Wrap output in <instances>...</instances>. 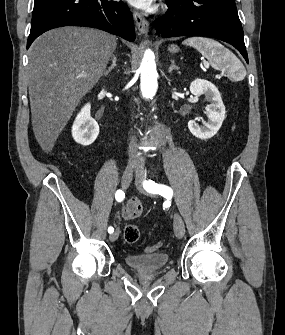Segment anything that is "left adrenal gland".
Segmentation results:
<instances>
[{
  "mask_svg": "<svg viewBox=\"0 0 285 335\" xmlns=\"http://www.w3.org/2000/svg\"><path fill=\"white\" fill-rule=\"evenodd\" d=\"M170 62H171V66L168 70L169 74H171V72H173V70H180V68H178V66H175L174 60H170Z\"/></svg>",
  "mask_w": 285,
  "mask_h": 335,
  "instance_id": "obj_1",
  "label": "left adrenal gland"
}]
</instances>
